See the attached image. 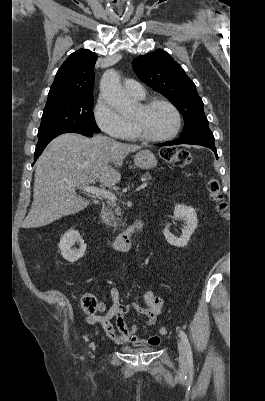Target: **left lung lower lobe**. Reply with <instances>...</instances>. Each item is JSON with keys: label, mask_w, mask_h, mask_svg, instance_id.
I'll use <instances>...</instances> for the list:
<instances>
[{"label": "left lung lower lobe", "mask_w": 265, "mask_h": 401, "mask_svg": "<svg viewBox=\"0 0 265 401\" xmlns=\"http://www.w3.org/2000/svg\"><path fill=\"white\" fill-rule=\"evenodd\" d=\"M178 144H193V145H202L207 148H210L217 156L216 148H215V139L210 129H206L200 132H196L187 136H180L179 139H176L171 142H165L162 144H158L159 146H169V145H178Z\"/></svg>", "instance_id": "obj_1"}]
</instances>
